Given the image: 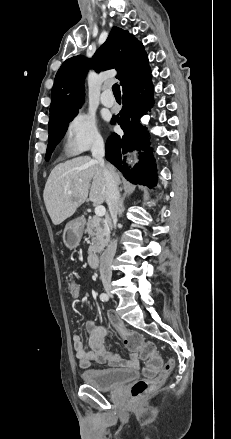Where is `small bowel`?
<instances>
[{"instance_id": "obj_1", "label": "small bowel", "mask_w": 231, "mask_h": 439, "mask_svg": "<svg viewBox=\"0 0 231 439\" xmlns=\"http://www.w3.org/2000/svg\"><path fill=\"white\" fill-rule=\"evenodd\" d=\"M78 294L76 296H78ZM107 318L110 328L115 332L119 333L121 336H124V334L128 332L123 322L116 314L110 312L108 313ZM86 332L88 337V348L84 346L80 334L75 333L72 336L73 348L81 368H90L93 363L129 368H136L139 366L140 362L137 352L132 351L128 359H122L118 354L108 350L106 346V338L109 334V328L97 325L93 321H88L86 323Z\"/></svg>"}]
</instances>
